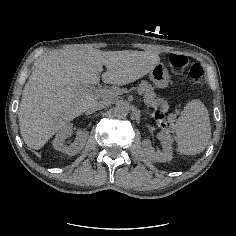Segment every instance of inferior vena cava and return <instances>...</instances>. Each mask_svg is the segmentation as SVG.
Listing matches in <instances>:
<instances>
[{
	"label": "inferior vena cava",
	"instance_id": "1",
	"mask_svg": "<svg viewBox=\"0 0 236 236\" xmlns=\"http://www.w3.org/2000/svg\"><path fill=\"white\" fill-rule=\"evenodd\" d=\"M109 104H110V101H107V100L97 101L92 106H90V109L91 110H100V109H103V108L109 106Z\"/></svg>",
	"mask_w": 236,
	"mask_h": 236
}]
</instances>
